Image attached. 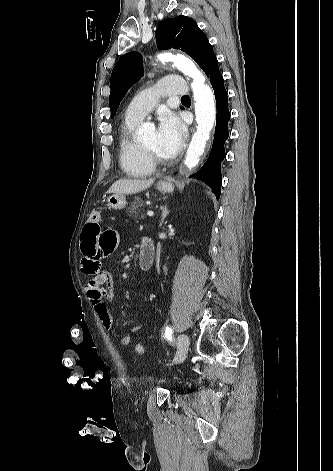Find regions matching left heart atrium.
Masks as SVG:
<instances>
[{"mask_svg": "<svg viewBox=\"0 0 333 471\" xmlns=\"http://www.w3.org/2000/svg\"><path fill=\"white\" fill-rule=\"evenodd\" d=\"M157 134L159 150L166 157H173L181 151L186 132L177 115L168 111L163 112L159 117Z\"/></svg>", "mask_w": 333, "mask_h": 471, "instance_id": "39dd6f15", "label": "left heart atrium"}]
</instances>
